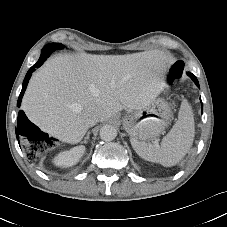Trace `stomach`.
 <instances>
[{
    "label": "stomach",
    "instance_id": "0dacf381",
    "mask_svg": "<svg viewBox=\"0 0 227 227\" xmlns=\"http://www.w3.org/2000/svg\"><path fill=\"white\" fill-rule=\"evenodd\" d=\"M171 118L169 104L164 99L157 98L146 108L126 115L123 127L132 139L142 142L161 135Z\"/></svg>",
    "mask_w": 227,
    "mask_h": 227
}]
</instances>
